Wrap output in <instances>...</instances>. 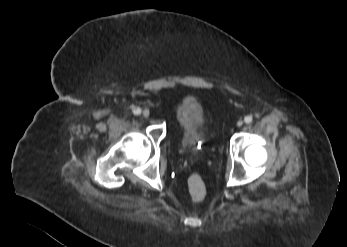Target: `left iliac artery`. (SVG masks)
Wrapping results in <instances>:
<instances>
[{
    "mask_svg": "<svg viewBox=\"0 0 347 247\" xmlns=\"http://www.w3.org/2000/svg\"><path fill=\"white\" fill-rule=\"evenodd\" d=\"M252 120H253V118H252L251 115H248V116H246V117L244 118V121H245V123H247V124L251 123Z\"/></svg>",
    "mask_w": 347,
    "mask_h": 247,
    "instance_id": "1",
    "label": "left iliac artery"
}]
</instances>
